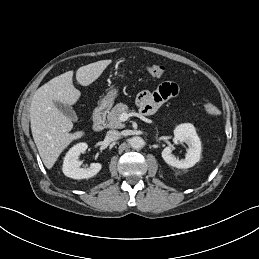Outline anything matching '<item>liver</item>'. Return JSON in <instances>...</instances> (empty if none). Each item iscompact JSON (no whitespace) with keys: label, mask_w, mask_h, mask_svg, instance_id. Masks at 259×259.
<instances>
[{"label":"liver","mask_w":259,"mask_h":259,"mask_svg":"<svg viewBox=\"0 0 259 259\" xmlns=\"http://www.w3.org/2000/svg\"><path fill=\"white\" fill-rule=\"evenodd\" d=\"M112 60H101L80 67L76 79L82 86L93 83ZM73 71L65 72L41 86L35 92L30 121L34 142L46 168L51 169L62 151L73 141L84 135L83 131L70 133L72 121L55 106L75 104L81 93L73 85Z\"/></svg>","instance_id":"liver-1"}]
</instances>
